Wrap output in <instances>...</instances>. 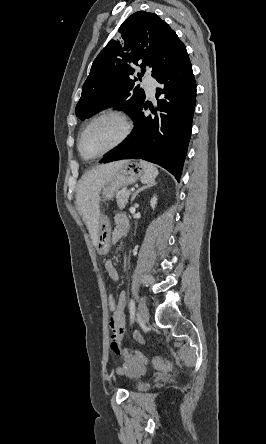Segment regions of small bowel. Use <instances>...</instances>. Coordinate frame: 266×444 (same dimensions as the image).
I'll use <instances>...</instances> for the list:
<instances>
[{
	"mask_svg": "<svg viewBox=\"0 0 266 444\" xmlns=\"http://www.w3.org/2000/svg\"><path fill=\"white\" fill-rule=\"evenodd\" d=\"M126 231H127V218L123 214H118L115 217V226L111 237L112 242L116 243L117 241H119V239L123 235H125ZM105 269L109 277L113 281L119 280V274L114 266V263L111 260H107L105 262ZM125 305H126V293L121 292L118 297L116 309L113 312L109 322V327L111 330L110 342H109L110 348L120 358H125V352L121 347V339L125 336L127 332ZM133 337L138 341H142V337L138 332H135L133 334ZM143 371L144 368L141 371L130 370V373L135 375L137 373H142Z\"/></svg>",
	"mask_w": 266,
	"mask_h": 444,
	"instance_id": "c3829d8e",
	"label": "small bowel"
}]
</instances>
